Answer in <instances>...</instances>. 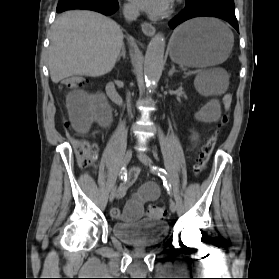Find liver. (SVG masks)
Masks as SVG:
<instances>
[{
	"label": "liver",
	"mask_w": 279,
	"mask_h": 279,
	"mask_svg": "<svg viewBox=\"0 0 279 279\" xmlns=\"http://www.w3.org/2000/svg\"><path fill=\"white\" fill-rule=\"evenodd\" d=\"M123 33L112 19L93 11H67L51 31L49 71L53 83L72 76L98 77L115 66Z\"/></svg>",
	"instance_id": "liver-1"
}]
</instances>
